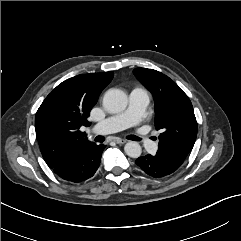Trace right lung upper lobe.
<instances>
[{"instance_id": "obj_1", "label": "right lung upper lobe", "mask_w": 241, "mask_h": 241, "mask_svg": "<svg viewBox=\"0 0 241 241\" xmlns=\"http://www.w3.org/2000/svg\"><path fill=\"white\" fill-rule=\"evenodd\" d=\"M112 72L80 74L60 83L43 101L35 116V131L42 156L53 165L66 151L85 147L87 118Z\"/></svg>"}]
</instances>
